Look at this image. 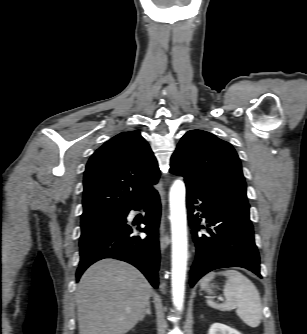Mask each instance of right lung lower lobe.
<instances>
[{
    "mask_svg": "<svg viewBox=\"0 0 307 334\" xmlns=\"http://www.w3.org/2000/svg\"><path fill=\"white\" fill-rule=\"evenodd\" d=\"M146 202V215L142 221L146 225L141 231L147 238L133 236L132 227L126 224V216L131 209L139 210ZM161 205L158 192L153 188L135 205L125 212L121 223L97 235L80 246V263L76 272L77 281L94 262L104 258H114L137 267L154 288L158 287L159 242L158 227Z\"/></svg>",
    "mask_w": 307,
    "mask_h": 334,
    "instance_id": "right-lung-lower-lobe-1",
    "label": "right lung lower lobe"
}]
</instances>
